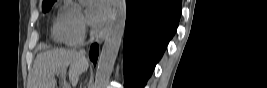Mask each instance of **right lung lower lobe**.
Instances as JSON below:
<instances>
[{"label": "right lung lower lobe", "instance_id": "1", "mask_svg": "<svg viewBox=\"0 0 267 88\" xmlns=\"http://www.w3.org/2000/svg\"><path fill=\"white\" fill-rule=\"evenodd\" d=\"M90 59L94 62V64L97 61V57H98V45L97 44H93L90 48V53H89Z\"/></svg>", "mask_w": 267, "mask_h": 88}]
</instances>
